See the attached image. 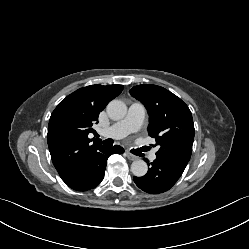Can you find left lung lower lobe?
<instances>
[{"instance_id":"0a47b994","label":"left lung lower lobe","mask_w":249,"mask_h":249,"mask_svg":"<svg viewBox=\"0 0 249 249\" xmlns=\"http://www.w3.org/2000/svg\"><path fill=\"white\" fill-rule=\"evenodd\" d=\"M143 177H134L135 184L143 191L151 194L169 190L180 178L185 167L162 158H156Z\"/></svg>"}]
</instances>
